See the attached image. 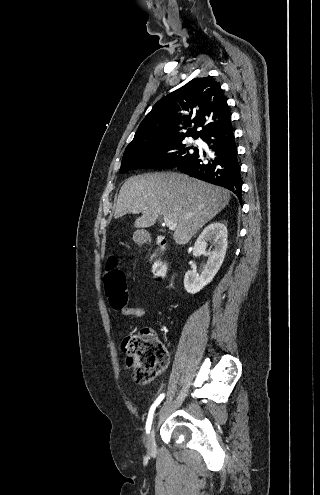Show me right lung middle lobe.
I'll return each mask as SVG.
<instances>
[{
    "instance_id": "right-lung-middle-lobe-1",
    "label": "right lung middle lobe",
    "mask_w": 320,
    "mask_h": 495,
    "mask_svg": "<svg viewBox=\"0 0 320 495\" xmlns=\"http://www.w3.org/2000/svg\"><path fill=\"white\" fill-rule=\"evenodd\" d=\"M189 149L182 140L137 146L124 152L119 172L138 168H174L193 155Z\"/></svg>"
}]
</instances>
